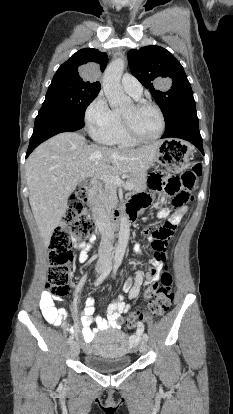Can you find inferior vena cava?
Returning <instances> with one entry per match:
<instances>
[{
  "label": "inferior vena cava",
  "mask_w": 233,
  "mask_h": 414,
  "mask_svg": "<svg viewBox=\"0 0 233 414\" xmlns=\"http://www.w3.org/2000/svg\"><path fill=\"white\" fill-rule=\"evenodd\" d=\"M98 191V182L96 179H92L89 188V199L91 200V210L94 216V220L97 228L102 231L101 240L103 241L100 245V252L98 253L99 260L98 264L107 265L111 262V254L113 253V245L115 233L112 229H109L110 220L109 216L102 205V198ZM94 206H98V209H94Z\"/></svg>",
  "instance_id": "inferior-vena-cava-1"
}]
</instances>
